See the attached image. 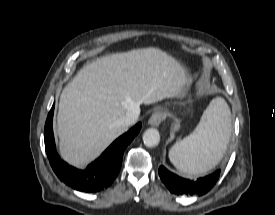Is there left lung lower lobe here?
<instances>
[{
    "mask_svg": "<svg viewBox=\"0 0 275 215\" xmlns=\"http://www.w3.org/2000/svg\"><path fill=\"white\" fill-rule=\"evenodd\" d=\"M162 182L167 186L170 192L177 195H203L207 193L217 182L220 170L198 178L190 180L181 178L174 173L168 171L164 166H160L158 170Z\"/></svg>",
    "mask_w": 275,
    "mask_h": 215,
    "instance_id": "obj_1",
    "label": "left lung lower lobe"
}]
</instances>
